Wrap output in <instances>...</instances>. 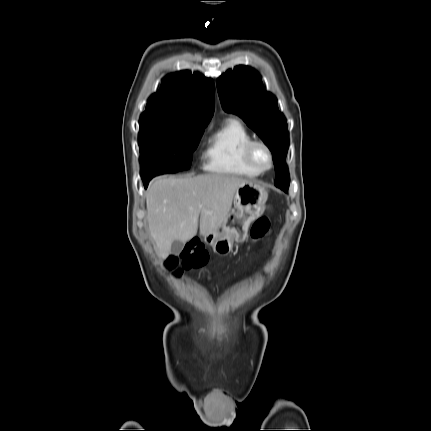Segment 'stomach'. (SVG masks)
Masks as SVG:
<instances>
[{"label":"stomach","instance_id":"stomach-1","mask_svg":"<svg viewBox=\"0 0 431 431\" xmlns=\"http://www.w3.org/2000/svg\"><path fill=\"white\" fill-rule=\"evenodd\" d=\"M268 198L266 189L254 182L242 184L235 192L234 209L228 214L221 230L204 236L206 244L217 254L226 255L234 243L245 240L248 228L265 210Z\"/></svg>","mask_w":431,"mask_h":431}]
</instances>
